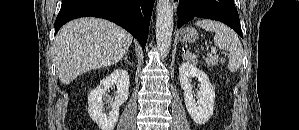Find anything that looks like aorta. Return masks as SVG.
Segmentation results:
<instances>
[{
  "label": "aorta",
  "instance_id": "aorta-1",
  "mask_svg": "<svg viewBox=\"0 0 299 130\" xmlns=\"http://www.w3.org/2000/svg\"><path fill=\"white\" fill-rule=\"evenodd\" d=\"M173 32V9L170 0H158L156 7V42L165 57L171 46Z\"/></svg>",
  "mask_w": 299,
  "mask_h": 130
}]
</instances>
